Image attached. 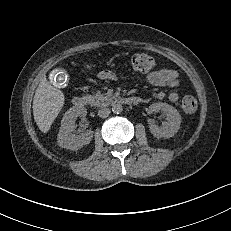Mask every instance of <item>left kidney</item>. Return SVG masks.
<instances>
[{"mask_svg":"<svg viewBox=\"0 0 231 231\" xmlns=\"http://www.w3.org/2000/svg\"><path fill=\"white\" fill-rule=\"evenodd\" d=\"M149 111L151 113L162 112L166 115L167 120L161 127L150 122L149 128L153 136L156 138H170L177 133L181 124V116L176 108L167 103L157 102L149 106Z\"/></svg>","mask_w":231,"mask_h":231,"instance_id":"1","label":"left kidney"}]
</instances>
